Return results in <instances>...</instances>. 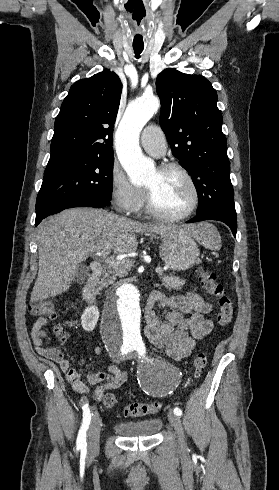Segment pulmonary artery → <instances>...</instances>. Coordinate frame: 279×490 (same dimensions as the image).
Wrapping results in <instances>:
<instances>
[{"label": "pulmonary artery", "mask_w": 279, "mask_h": 490, "mask_svg": "<svg viewBox=\"0 0 279 490\" xmlns=\"http://www.w3.org/2000/svg\"><path fill=\"white\" fill-rule=\"evenodd\" d=\"M141 144L149 154L155 157L162 156L167 148L161 128L157 125H149L143 130Z\"/></svg>", "instance_id": "e3ab8cb5"}]
</instances>
